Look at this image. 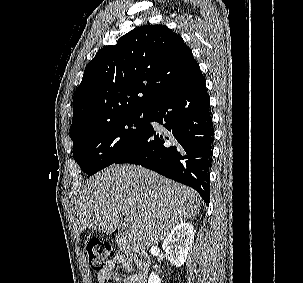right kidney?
I'll return each instance as SVG.
<instances>
[{
    "label": "right kidney",
    "mask_w": 303,
    "mask_h": 283,
    "mask_svg": "<svg viewBox=\"0 0 303 283\" xmlns=\"http://www.w3.org/2000/svg\"><path fill=\"white\" fill-rule=\"evenodd\" d=\"M195 230L190 223L175 226L163 241L162 248L171 264L181 267L187 259L194 241ZM148 283H161L158 275L152 272Z\"/></svg>",
    "instance_id": "obj_1"
}]
</instances>
